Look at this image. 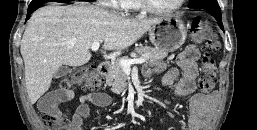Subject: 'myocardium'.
<instances>
[{
    "instance_id": "obj_1",
    "label": "myocardium",
    "mask_w": 257,
    "mask_h": 130,
    "mask_svg": "<svg viewBox=\"0 0 257 130\" xmlns=\"http://www.w3.org/2000/svg\"><path fill=\"white\" fill-rule=\"evenodd\" d=\"M136 1L141 10L151 13V14H157V15L171 14V13L179 10L185 3V0H178L177 3L171 7L157 8V7L152 6L148 0H136Z\"/></svg>"
}]
</instances>
